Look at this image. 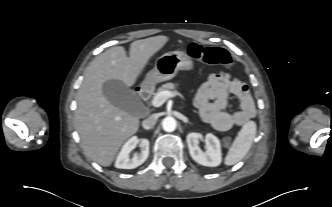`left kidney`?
<instances>
[{
  "label": "left kidney",
  "mask_w": 332,
  "mask_h": 207,
  "mask_svg": "<svg viewBox=\"0 0 332 207\" xmlns=\"http://www.w3.org/2000/svg\"><path fill=\"white\" fill-rule=\"evenodd\" d=\"M201 138L202 135L195 132L187 135V144L192 159L203 166L216 167L220 165L222 156L219 139L211 133L207 134L205 136L207 148L206 151L203 152L198 146V141Z\"/></svg>",
  "instance_id": "5707ae66"
}]
</instances>
